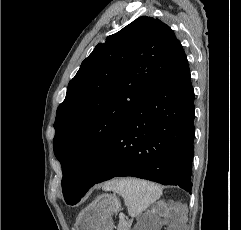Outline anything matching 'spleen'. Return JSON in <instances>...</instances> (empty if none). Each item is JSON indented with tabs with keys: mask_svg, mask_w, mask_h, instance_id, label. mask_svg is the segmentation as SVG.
Wrapping results in <instances>:
<instances>
[{
	"mask_svg": "<svg viewBox=\"0 0 241 230\" xmlns=\"http://www.w3.org/2000/svg\"><path fill=\"white\" fill-rule=\"evenodd\" d=\"M103 190L121 195L131 217L139 216L162 194L159 185L134 178L112 180L104 184Z\"/></svg>",
	"mask_w": 241,
	"mask_h": 230,
	"instance_id": "3e777b00",
	"label": "spleen"
}]
</instances>
